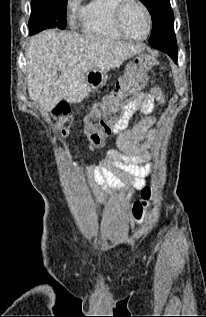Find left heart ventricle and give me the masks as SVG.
<instances>
[{
    "instance_id": "obj_1",
    "label": "left heart ventricle",
    "mask_w": 206,
    "mask_h": 317,
    "mask_svg": "<svg viewBox=\"0 0 206 317\" xmlns=\"http://www.w3.org/2000/svg\"><path fill=\"white\" fill-rule=\"evenodd\" d=\"M123 27L132 37H143L147 31V18L137 4H130L123 16Z\"/></svg>"
}]
</instances>
